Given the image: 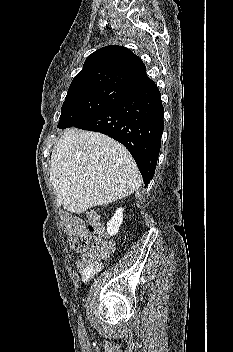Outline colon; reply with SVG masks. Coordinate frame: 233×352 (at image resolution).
Wrapping results in <instances>:
<instances>
[{
	"mask_svg": "<svg viewBox=\"0 0 233 352\" xmlns=\"http://www.w3.org/2000/svg\"><path fill=\"white\" fill-rule=\"evenodd\" d=\"M65 231L70 248L80 254L77 265L82 277L90 278L101 269V260L112 250V242L106 239L105 229L93 214L86 224L77 220L67 222ZM92 235L96 237L93 243Z\"/></svg>",
	"mask_w": 233,
	"mask_h": 352,
	"instance_id": "colon-1",
	"label": "colon"
}]
</instances>
